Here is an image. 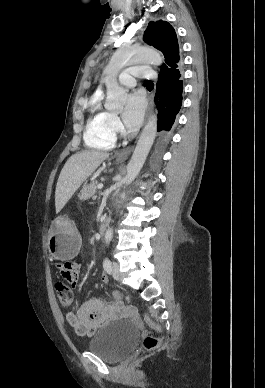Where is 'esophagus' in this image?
<instances>
[{
  "label": "esophagus",
  "mask_w": 265,
  "mask_h": 388,
  "mask_svg": "<svg viewBox=\"0 0 265 388\" xmlns=\"http://www.w3.org/2000/svg\"><path fill=\"white\" fill-rule=\"evenodd\" d=\"M151 109H152V105L149 106L148 111L146 113L145 123L148 121V117L150 115ZM133 148H134V145L125 148L121 152L117 153V158L119 160H121V161H125L129 157V155L132 152Z\"/></svg>",
  "instance_id": "1"
}]
</instances>
